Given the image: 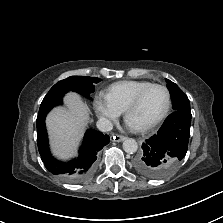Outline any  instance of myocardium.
Masks as SVG:
<instances>
[{
	"label": "myocardium",
	"mask_w": 223,
	"mask_h": 223,
	"mask_svg": "<svg viewBox=\"0 0 223 223\" xmlns=\"http://www.w3.org/2000/svg\"><path fill=\"white\" fill-rule=\"evenodd\" d=\"M162 88L167 96V103L165 106V109L163 111V113L152 123L145 125V126H140V127H134V129L138 132H147L150 131L152 129H154L155 127H157L168 115L170 108H171V94L169 89L162 84H151L147 87H145L144 89H142L134 98L133 100L128 104V106L125 108L124 110V115L125 118L127 119L128 115L140 104L141 100L143 99V97L146 95V93L148 91H150L153 88Z\"/></svg>",
	"instance_id": "obj_1"
}]
</instances>
